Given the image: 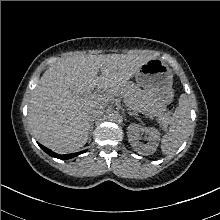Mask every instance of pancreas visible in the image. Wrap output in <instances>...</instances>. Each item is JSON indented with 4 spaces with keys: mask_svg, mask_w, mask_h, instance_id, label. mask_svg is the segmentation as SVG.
Returning <instances> with one entry per match:
<instances>
[{
    "mask_svg": "<svg viewBox=\"0 0 220 220\" xmlns=\"http://www.w3.org/2000/svg\"><path fill=\"white\" fill-rule=\"evenodd\" d=\"M142 92L139 91V87L132 83V82H127L125 85L124 90L120 94V96L124 99V102L131 108H135L136 106L139 105L140 101L139 98L141 97ZM164 108L161 106H154L152 113L156 116H159L163 119L168 121V116L167 114L163 113Z\"/></svg>",
    "mask_w": 220,
    "mask_h": 220,
    "instance_id": "obj_1",
    "label": "pancreas"
}]
</instances>
